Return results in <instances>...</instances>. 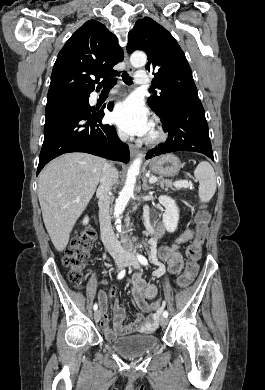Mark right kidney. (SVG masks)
I'll use <instances>...</instances> for the list:
<instances>
[{
	"instance_id": "ca27d5eb",
	"label": "right kidney",
	"mask_w": 265,
	"mask_h": 390,
	"mask_svg": "<svg viewBox=\"0 0 265 390\" xmlns=\"http://www.w3.org/2000/svg\"><path fill=\"white\" fill-rule=\"evenodd\" d=\"M88 222H89V218H88V217H85V218L83 219V224H84V225H87Z\"/></svg>"
}]
</instances>
